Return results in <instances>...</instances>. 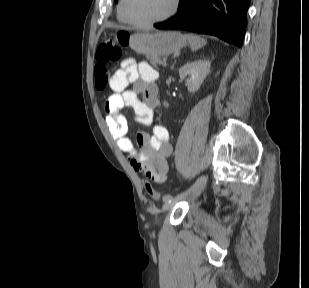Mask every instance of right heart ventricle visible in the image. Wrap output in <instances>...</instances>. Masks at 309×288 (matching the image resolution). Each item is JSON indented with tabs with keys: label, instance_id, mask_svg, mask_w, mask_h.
<instances>
[{
	"label": "right heart ventricle",
	"instance_id": "obj_1",
	"mask_svg": "<svg viewBox=\"0 0 309 288\" xmlns=\"http://www.w3.org/2000/svg\"><path fill=\"white\" fill-rule=\"evenodd\" d=\"M117 18L121 23H126L121 14V0H119L117 5Z\"/></svg>",
	"mask_w": 309,
	"mask_h": 288
}]
</instances>
